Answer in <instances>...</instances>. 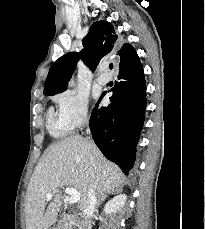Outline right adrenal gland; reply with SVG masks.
Wrapping results in <instances>:
<instances>
[{
    "instance_id": "right-adrenal-gland-1",
    "label": "right adrenal gland",
    "mask_w": 205,
    "mask_h": 229,
    "mask_svg": "<svg viewBox=\"0 0 205 229\" xmlns=\"http://www.w3.org/2000/svg\"><path fill=\"white\" fill-rule=\"evenodd\" d=\"M114 193V191H107L105 194L101 195L98 199L97 206H99L106 198L107 194Z\"/></svg>"
}]
</instances>
